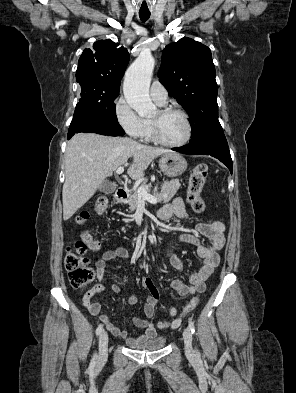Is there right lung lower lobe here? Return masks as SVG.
<instances>
[{"label":"right lung lower lobe","instance_id":"obj_1","mask_svg":"<svg viewBox=\"0 0 296 393\" xmlns=\"http://www.w3.org/2000/svg\"><path fill=\"white\" fill-rule=\"evenodd\" d=\"M79 132L108 136H122L125 134L117 120L107 119L86 109H75L67 138L70 139L75 133Z\"/></svg>","mask_w":296,"mask_h":393}]
</instances>
